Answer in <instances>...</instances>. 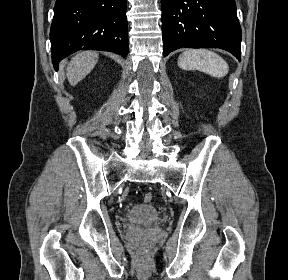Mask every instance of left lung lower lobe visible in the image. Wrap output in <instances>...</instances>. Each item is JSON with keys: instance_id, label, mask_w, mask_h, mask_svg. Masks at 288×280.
<instances>
[{"instance_id": "obj_1", "label": "left lung lower lobe", "mask_w": 288, "mask_h": 280, "mask_svg": "<svg viewBox=\"0 0 288 280\" xmlns=\"http://www.w3.org/2000/svg\"><path fill=\"white\" fill-rule=\"evenodd\" d=\"M241 28L234 0H162L164 57L183 48H221L240 61Z\"/></svg>"}]
</instances>
